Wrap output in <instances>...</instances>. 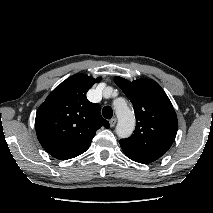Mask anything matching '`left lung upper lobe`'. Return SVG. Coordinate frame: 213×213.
Listing matches in <instances>:
<instances>
[{
	"instance_id": "5c2ea615",
	"label": "left lung upper lobe",
	"mask_w": 213,
	"mask_h": 213,
	"mask_svg": "<svg viewBox=\"0 0 213 213\" xmlns=\"http://www.w3.org/2000/svg\"><path fill=\"white\" fill-rule=\"evenodd\" d=\"M115 83L130 99L136 116L134 134L120 146L136 154L158 159L171 147L178 128L175 110L160 85L150 79L130 82L115 77Z\"/></svg>"
}]
</instances>
